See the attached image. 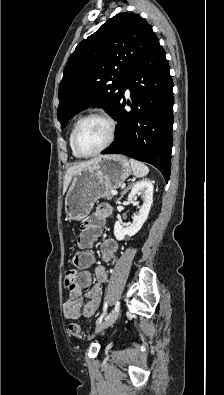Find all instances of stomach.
<instances>
[{
	"label": "stomach",
	"mask_w": 224,
	"mask_h": 395,
	"mask_svg": "<svg viewBox=\"0 0 224 395\" xmlns=\"http://www.w3.org/2000/svg\"><path fill=\"white\" fill-rule=\"evenodd\" d=\"M131 166L122 155L100 157L91 166L77 172L65 198V213L80 221L91 212L94 203L107 191L119 188L131 174Z\"/></svg>",
	"instance_id": "obj_1"
}]
</instances>
